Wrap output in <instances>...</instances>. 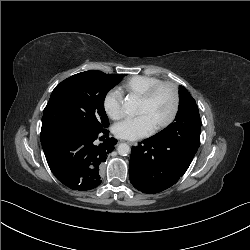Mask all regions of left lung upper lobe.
<instances>
[{"label": "left lung upper lobe", "instance_id": "left-lung-upper-lobe-1", "mask_svg": "<svg viewBox=\"0 0 250 250\" xmlns=\"http://www.w3.org/2000/svg\"><path fill=\"white\" fill-rule=\"evenodd\" d=\"M179 98L180 105L175 118V122L171 123L166 129H164L160 133L167 132L172 126H175L178 123L187 122L190 120H200V115L196 102L183 86L179 87Z\"/></svg>", "mask_w": 250, "mask_h": 250}]
</instances>
